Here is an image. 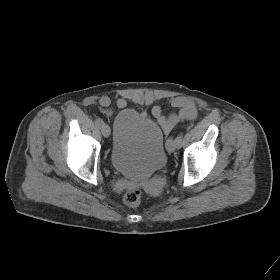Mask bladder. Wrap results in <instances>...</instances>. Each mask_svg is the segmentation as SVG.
Segmentation results:
<instances>
[{
  "instance_id": "1",
  "label": "bladder",
  "mask_w": 280,
  "mask_h": 280,
  "mask_svg": "<svg viewBox=\"0 0 280 280\" xmlns=\"http://www.w3.org/2000/svg\"><path fill=\"white\" fill-rule=\"evenodd\" d=\"M164 142V132L156 120L124 109L113 122L111 164L128 178H149L166 164Z\"/></svg>"
}]
</instances>
